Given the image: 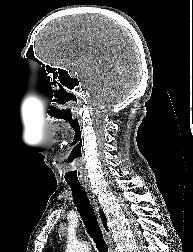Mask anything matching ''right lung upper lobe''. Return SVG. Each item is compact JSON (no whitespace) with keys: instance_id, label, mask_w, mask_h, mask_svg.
<instances>
[{"instance_id":"right-lung-upper-lobe-1","label":"right lung upper lobe","mask_w":193,"mask_h":252,"mask_svg":"<svg viewBox=\"0 0 193 252\" xmlns=\"http://www.w3.org/2000/svg\"><path fill=\"white\" fill-rule=\"evenodd\" d=\"M100 216H101L104 228L106 230H108V228H107V219H106V216L104 215L102 210H100ZM51 250H52V248H47L44 252H51Z\"/></svg>"}]
</instances>
